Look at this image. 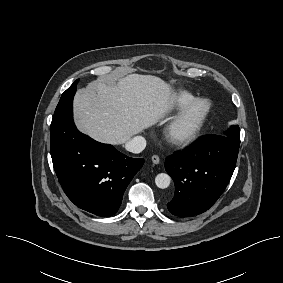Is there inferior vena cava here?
Masks as SVG:
<instances>
[{"instance_id":"obj_1","label":"inferior vena cava","mask_w":283,"mask_h":283,"mask_svg":"<svg viewBox=\"0 0 283 283\" xmlns=\"http://www.w3.org/2000/svg\"><path fill=\"white\" fill-rule=\"evenodd\" d=\"M146 147V140L142 136H135L126 142L125 148L126 150L132 153H140Z\"/></svg>"}]
</instances>
